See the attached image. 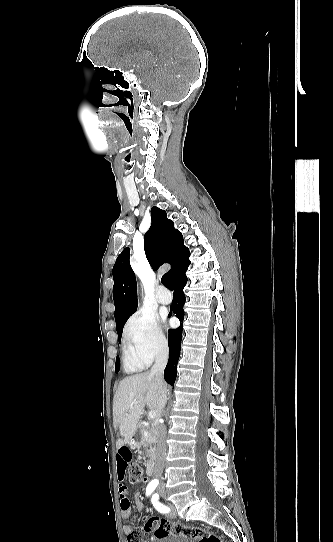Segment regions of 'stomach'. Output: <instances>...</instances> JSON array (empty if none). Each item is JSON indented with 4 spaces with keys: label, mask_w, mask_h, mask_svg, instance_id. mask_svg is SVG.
<instances>
[{
    "label": "stomach",
    "mask_w": 333,
    "mask_h": 542,
    "mask_svg": "<svg viewBox=\"0 0 333 542\" xmlns=\"http://www.w3.org/2000/svg\"><path fill=\"white\" fill-rule=\"evenodd\" d=\"M142 440H143V436H142L140 430H138V432H136V434H134L133 438H131V440H129L128 444H129L130 448H140V446L142 444Z\"/></svg>",
    "instance_id": "stomach-1"
}]
</instances>
